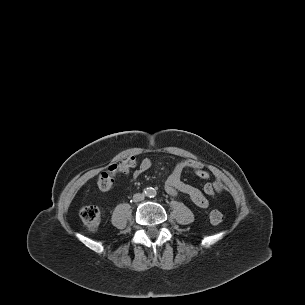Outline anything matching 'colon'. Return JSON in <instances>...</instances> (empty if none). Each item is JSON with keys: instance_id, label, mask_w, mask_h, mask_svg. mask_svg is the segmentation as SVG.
Segmentation results:
<instances>
[{"instance_id": "obj_1", "label": "colon", "mask_w": 305, "mask_h": 305, "mask_svg": "<svg viewBox=\"0 0 305 305\" xmlns=\"http://www.w3.org/2000/svg\"><path fill=\"white\" fill-rule=\"evenodd\" d=\"M138 165L137 155L128 153L122 157L118 162L112 163L105 172H102L98 186L100 190L109 191L114 182V176L118 173H128L130 170ZM80 216L85 226L90 231H96L100 225L102 218V211L96 206L83 207L80 211ZM223 219V215L218 210H213L210 213V221L212 224L217 225Z\"/></svg>"}]
</instances>
